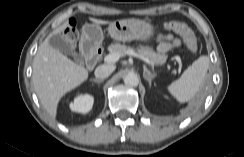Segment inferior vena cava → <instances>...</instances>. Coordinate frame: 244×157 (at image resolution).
<instances>
[{
  "label": "inferior vena cava",
  "mask_w": 244,
  "mask_h": 157,
  "mask_svg": "<svg viewBox=\"0 0 244 157\" xmlns=\"http://www.w3.org/2000/svg\"><path fill=\"white\" fill-rule=\"evenodd\" d=\"M114 71V66L112 65H100L95 69V76L98 79L107 78Z\"/></svg>",
  "instance_id": "obj_1"
}]
</instances>
